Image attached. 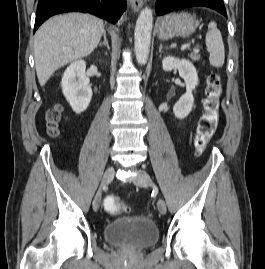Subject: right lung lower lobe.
<instances>
[{"label": "right lung lower lobe", "mask_w": 265, "mask_h": 269, "mask_svg": "<svg viewBox=\"0 0 265 269\" xmlns=\"http://www.w3.org/2000/svg\"><path fill=\"white\" fill-rule=\"evenodd\" d=\"M126 10V0H39L34 32L49 17L64 12H87L115 24Z\"/></svg>", "instance_id": "obj_1"}]
</instances>
